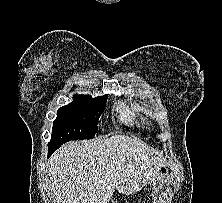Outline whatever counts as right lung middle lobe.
I'll list each match as a JSON object with an SVG mask.
<instances>
[{"label": "right lung middle lobe", "instance_id": "obj_1", "mask_svg": "<svg viewBox=\"0 0 222 203\" xmlns=\"http://www.w3.org/2000/svg\"><path fill=\"white\" fill-rule=\"evenodd\" d=\"M107 97V95L96 98L75 95L72 103L59 108L48 145L61 146L70 140L94 138Z\"/></svg>", "mask_w": 222, "mask_h": 203}]
</instances>
